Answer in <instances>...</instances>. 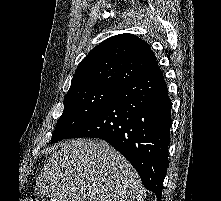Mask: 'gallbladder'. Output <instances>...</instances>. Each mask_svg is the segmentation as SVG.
I'll return each instance as SVG.
<instances>
[{
	"label": "gallbladder",
	"instance_id": "bac80fb5",
	"mask_svg": "<svg viewBox=\"0 0 221 201\" xmlns=\"http://www.w3.org/2000/svg\"><path fill=\"white\" fill-rule=\"evenodd\" d=\"M41 198H44V199H46V198H48L46 195H41ZM42 200V201H45V200Z\"/></svg>",
	"mask_w": 221,
	"mask_h": 201
}]
</instances>
